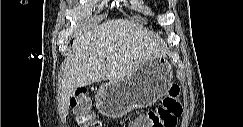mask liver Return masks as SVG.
I'll list each match as a JSON object with an SVG mask.
<instances>
[{
	"label": "liver",
	"instance_id": "6515ba94",
	"mask_svg": "<svg viewBox=\"0 0 243 127\" xmlns=\"http://www.w3.org/2000/svg\"><path fill=\"white\" fill-rule=\"evenodd\" d=\"M163 55L161 39L127 19H113L85 29L74 38L72 51L63 64L62 112H67L76 88L102 80H123L153 56Z\"/></svg>",
	"mask_w": 243,
	"mask_h": 127
}]
</instances>
